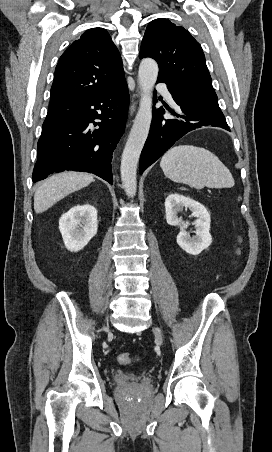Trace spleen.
<instances>
[{
  "mask_svg": "<svg viewBox=\"0 0 272 452\" xmlns=\"http://www.w3.org/2000/svg\"><path fill=\"white\" fill-rule=\"evenodd\" d=\"M166 177L196 189L231 188L234 179L229 169L212 152L191 145L175 146L160 161Z\"/></svg>",
  "mask_w": 272,
  "mask_h": 452,
  "instance_id": "3e777b00",
  "label": "spleen"
}]
</instances>
